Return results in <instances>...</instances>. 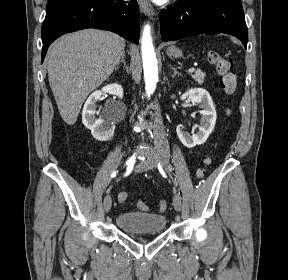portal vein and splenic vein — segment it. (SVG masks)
I'll return each mask as SVG.
<instances>
[{
  "instance_id": "1",
  "label": "portal vein and splenic vein",
  "mask_w": 288,
  "mask_h": 280,
  "mask_svg": "<svg viewBox=\"0 0 288 280\" xmlns=\"http://www.w3.org/2000/svg\"><path fill=\"white\" fill-rule=\"evenodd\" d=\"M194 71H195V68H194V67L188 69V72H190V73H192V72H194Z\"/></svg>"
}]
</instances>
